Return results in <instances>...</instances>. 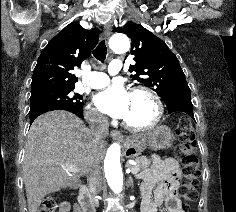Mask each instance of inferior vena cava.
Here are the masks:
<instances>
[{"mask_svg": "<svg viewBox=\"0 0 236 212\" xmlns=\"http://www.w3.org/2000/svg\"><path fill=\"white\" fill-rule=\"evenodd\" d=\"M90 121H91L90 132L93 138V144L98 145L102 141H104V139L109 134L108 119L101 115H93ZM86 172H87V183L90 192L95 202H97L96 196L100 191L102 185V173L100 164L95 159V157L92 158V161L90 162Z\"/></svg>", "mask_w": 236, "mask_h": 212, "instance_id": "602c4592", "label": "inferior vena cava"}]
</instances>
